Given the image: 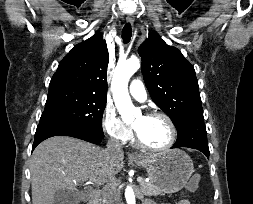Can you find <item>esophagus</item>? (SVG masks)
<instances>
[{
  "mask_svg": "<svg viewBox=\"0 0 253 204\" xmlns=\"http://www.w3.org/2000/svg\"><path fill=\"white\" fill-rule=\"evenodd\" d=\"M134 19L135 18H134V16L132 14H129L126 17V20H127L128 23H133ZM130 157L136 158V157H139V156L137 154L132 153V154H130Z\"/></svg>",
  "mask_w": 253,
  "mask_h": 204,
  "instance_id": "obj_1",
  "label": "esophagus"
}]
</instances>
